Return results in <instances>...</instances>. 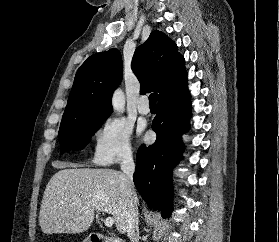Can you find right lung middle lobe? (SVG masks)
Wrapping results in <instances>:
<instances>
[{"label":"right lung middle lobe","instance_id":"dd1d6c3e","mask_svg":"<svg viewBox=\"0 0 279 242\" xmlns=\"http://www.w3.org/2000/svg\"><path fill=\"white\" fill-rule=\"evenodd\" d=\"M105 119L94 117L73 125L60 126L61 154L70 152L72 149H83Z\"/></svg>","mask_w":279,"mask_h":242}]
</instances>
